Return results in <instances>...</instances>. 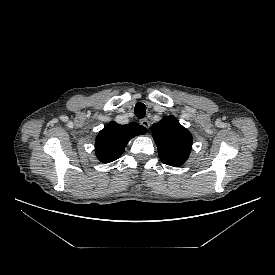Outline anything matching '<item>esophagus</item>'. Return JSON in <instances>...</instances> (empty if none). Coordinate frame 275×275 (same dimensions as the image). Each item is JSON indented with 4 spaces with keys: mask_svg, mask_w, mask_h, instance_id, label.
I'll list each match as a JSON object with an SVG mask.
<instances>
[{
    "mask_svg": "<svg viewBox=\"0 0 275 275\" xmlns=\"http://www.w3.org/2000/svg\"><path fill=\"white\" fill-rule=\"evenodd\" d=\"M140 124H141L143 127L147 128V129H149V127H150V123H149V121H148L147 119H142V120L140 121Z\"/></svg>",
    "mask_w": 275,
    "mask_h": 275,
    "instance_id": "esophagus-1",
    "label": "esophagus"
}]
</instances>
